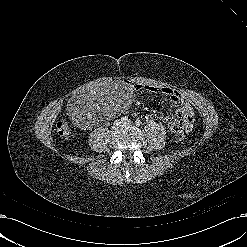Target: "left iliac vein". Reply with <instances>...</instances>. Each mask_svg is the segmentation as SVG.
<instances>
[{
    "instance_id": "obj_1",
    "label": "left iliac vein",
    "mask_w": 247,
    "mask_h": 247,
    "mask_svg": "<svg viewBox=\"0 0 247 247\" xmlns=\"http://www.w3.org/2000/svg\"><path fill=\"white\" fill-rule=\"evenodd\" d=\"M124 125H131V121L125 122Z\"/></svg>"
}]
</instances>
